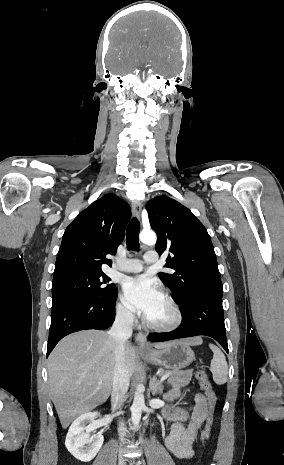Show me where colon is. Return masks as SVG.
<instances>
[{
    "label": "colon",
    "instance_id": "obj_1",
    "mask_svg": "<svg viewBox=\"0 0 284 465\" xmlns=\"http://www.w3.org/2000/svg\"><path fill=\"white\" fill-rule=\"evenodd\" d=\"M196 376L198 380L200 381L201 387L206 395L208 409L212 411L216 404V396L212 389L211 383L207 377V374L203 370H199ZM209 425H210V420H207L205 427L203 429L202 438H201V441L204 444H207L210 441V438L208 437L209 436Z\"/></svg>",
    "mask_w": 284,
    "mask_h": 465
}]
</instances>
